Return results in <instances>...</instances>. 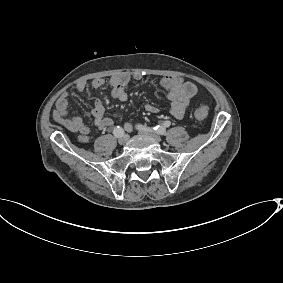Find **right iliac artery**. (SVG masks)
I'll return each instance as SVG.
<instances>
[{
    "mask_svg": "<svg viewBox=\"0 0 283 283\" xmlns=\"http://www.w3.org/2000/svg\"><path fill=\"white\" fill-rule=\"evenodd\" d=\"M113 134L116 137H121L122 135H124V130H123V128L117 126V127L114 128Z\"/></svg>",
    "mask_w": 283,
    "mask_h": 283,
    "instance_id": "1",
    "label": "right iliac artery"
}]
</instances>
